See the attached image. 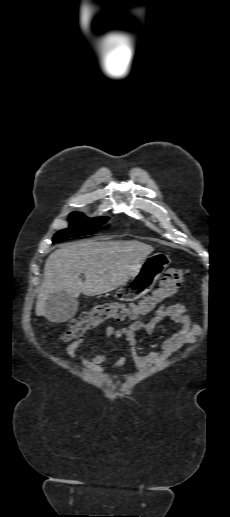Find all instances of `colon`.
Segmentation results:
<instances>
[{
  "mask_svg": "<svg viewBox=\"0 0 230 517\" xmlns=\"http://www.w3.org/2000/svg\"><path fill=\"white\" fill-rule=\"evenodd\" d=\"M184 269L168 270L160 281L159 287L150 295L136 303L109 302L95 306L69 323L62 333L63 341L81 339L86 333L107 320H136L150 315L166 299L176 294L186 275Z\"/></svg>",
  "mask_w": 230,
  "mask_h": 517,
  "instance_id": "5ec220e1",
  "label": "colon"
}]
</instances>
